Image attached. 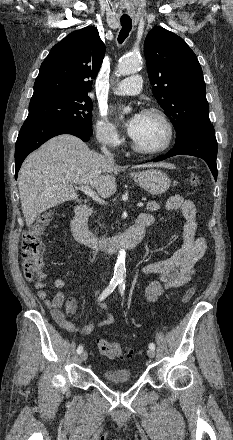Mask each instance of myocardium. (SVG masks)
I'll return each mask as SVG.
<instances>
[{
    "label": "myocardium",
    "mask_w": 233,
    "mask_h": 440,
    "mask_svg": "<svg viewBox=\"0 0 233 440\" xmlns=\"http://www.w3.org/2000/svg\"><path fill=\"white\" fill-rule=\"evenodd\" d=\"M143 114L156 116L162 121V123L164 124L166 131H167L166 139L161 146H159L157 148H153V149H147V148H143L140 145H138L134 141V139L132 138V140H131L132 149L135 152L143 154V155H157V154L163 153L171 146L173 139H174V127H173L172 122L170 121V119L166 115V113L158 108H146L145 110H143Z\"/></svg>",
    "instance_id": "myocardium-1"
}]
</instances>
